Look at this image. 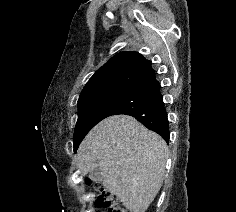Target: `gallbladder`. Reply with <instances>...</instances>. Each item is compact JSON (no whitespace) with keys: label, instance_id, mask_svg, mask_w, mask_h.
<instances>
[{"label":"gallbladder","instance_id":"gallbladder-1","mask_svg":"<svg viewBox=\"0 0 236 212\" xmlns=\"http://www.w3.org/2000/svg\"><path fill=\"white\" fill-rule=\"evenodd\" d=\"M89 177L93 181H101L102 180V172L100 169H95L89 173Z\"/></svg>","mask_w":236,"mask_h":212}]
</instances>
